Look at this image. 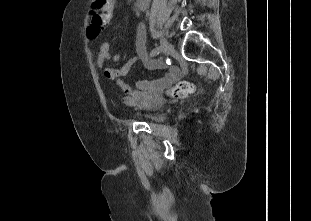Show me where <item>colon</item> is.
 <instances>
[{"label":"colon","mask_w":311,"mask_h":221,"mask_svg":"<svg viewBox=\"0 0 311 221\" xmlns=\"http://www.w3.org/2000/svg\"><path fill=\"white\" fill-rule=\"evenodd\" d=\"M112 3L113 0H96L91 5L89 15L94 25H88L87 39H98V32H102L103 27H108ZM195 90V83L191 79H182L170 88L169 96L174 99L185 98Z\"/></svg>","instance_id":"obj_1"}]
</instances>
